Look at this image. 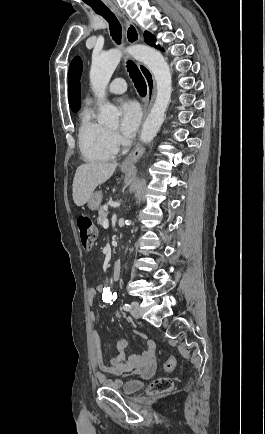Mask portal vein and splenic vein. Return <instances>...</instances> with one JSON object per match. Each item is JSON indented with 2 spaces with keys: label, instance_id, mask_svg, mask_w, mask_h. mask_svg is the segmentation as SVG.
<instances>
[{
  "label": "portal vein and splenic vein",
  "instance_id": "18ae733b",
  "mask_svg": "<svg viewBox=\"0 0 265 434\" xmlns=\"http://www.w3.org/2000/svg\"><path fill=\"white\" fill-rule=\"evenodd\" d=\"M103 228H105V230H107V228H109V222H108V220H105V222L103 224Z\"/></svg>",
  "mask_w": 265,
  "mask_h": 434
}]
</instances>
